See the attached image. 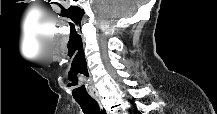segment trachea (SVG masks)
<instances>
[{
  "mask_svg": "<svg viewBox=\"0 0 217 114\" xmlns=\"http://www.w3.org/2000/svg\"><path fill=\"white\" fill-rule=\"evenodd\" d=\"M80 105L84 114H100V108L97 101L93 98L75 99Z\"/></svg>",
  "mask_w": 217,
  "mask_h": 114,
  "instance_id": "3493384b",
  "label": "trachea"
}]
</instances>
